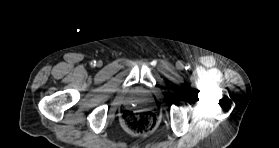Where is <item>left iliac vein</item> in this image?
<instances>
[{
	"label": "left iliac vein",
	"mask_w": 279,
	"mask_h": 148,
	"mask_svg": "<svg viewBox=\"0 0 279 148\" xmlns=\"http://www.w3.org/2000/svg\"><path fill=\"white\" fill-rule=\"evenodd\" d=\"M177 67H178L179 69H182L184 66H183L182 62H178V63H177Z\"/></svg>",
	"instance_id": "left-iliac-vein-1"
}]
</instances>
